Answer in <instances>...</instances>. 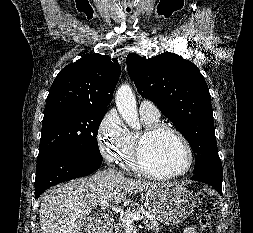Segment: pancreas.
<instances>
[{"label": "pancreas", "mask_w": 253, "mask_h": 233, "mask_svg": "<svg viewBox=\"0 0 253 233\" xmlns=\"http://www.w3.org/2000/svg\"><path fill=\"white\" fill-rule=\"evenodd\" d=\"M126 211L133 214L141 213L144 215L142 223L147 230H150L153 233H158L160 231L159 223L153 220L150 214H146V211L139 204H131ZM126 225L125 216H121L117 224L114 226L115 233H125Z\"/></svg>", "instance_id": "1"}]
</instances>
